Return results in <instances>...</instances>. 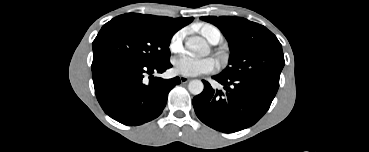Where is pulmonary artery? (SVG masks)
<instances>
[{"label":"pulmonary artery","instance_id":"obj_1","mask_svg":"<svg viewBox=\"0 0 369 152\" xmlns=\"http://www.w3.org/2000/svg\"><path fill=\"white\" fill-rule=\"evenodd\" d=\"M220 39H221V33H220V31L219 30L218 31H214L212 33V40H211L210 43L217 44L220 41Z\"/></svg>","mask_w":369,"mask_h":152}]
</instances>
